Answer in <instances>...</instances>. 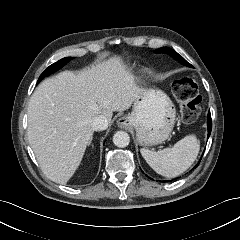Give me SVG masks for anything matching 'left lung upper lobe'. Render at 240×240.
Instances as JSON below:
<instances>
[{
    "instance_id": "left-lung-upper-lobe-1",
    "label": "left lung upper lobe",
    "mask_w": 240,
    "mask_h": 240,
    "mask_svg": "<svg viewBox=\"0 0 240 240\" xmlns=\"http://www.w3.org/2000/svg\"><path fill=\"white\" fill-rule=\"evenodd\" d=\"M155 53H157V54H159V53H167L170 56H172L173 58H175L176 60H178L181 63L185 64L186 66L192 67V65L189 64L181 55H179L176 51H174L173 49H171L169 47H162L160 49H157V50H155Z\"/></svg>"
}]
</instances>
